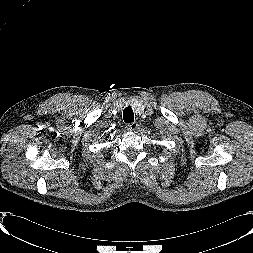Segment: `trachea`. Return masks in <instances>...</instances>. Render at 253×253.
Returning <instances> with one entry per match:
<instances>
[{
  "label": "trachea",
  "instance_id": "3493384b",
  "mask_svg": "<svg viewBox=\"0 0 253 253\" xmlns=\"http://www.w3.org/2000/svg\"><path fill=\"white\" fill-rule=\"evenodd\" d=\"M123 119L126 123H131L134 121V113L131 107H126L123 111Z\"/></svg>",
  "mask_w": 253,
  "mask_h": 253
}]
</instances>
